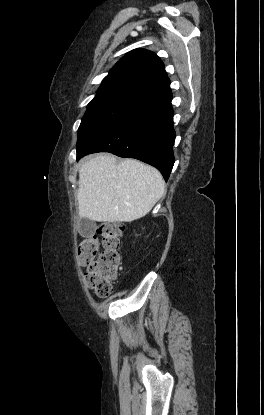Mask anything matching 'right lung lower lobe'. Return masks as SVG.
Here are the masks:
<instances>
[{"label": "right lung lower lobe", "instance_id": "right-lung-lower-lobe-1", "mask_svg": "<svg viewBox=\"0 0 264 415\" xmlns=\"http://www.w3.org/2000/svg\"><path fill=\"white\" fill-rule=\"evenodd\" d=\"M172 93L141 101L87 146L77 150V160L95 152H110L120 157L141 160L156 167L167 180L174 165Z\"/></svg>", "mask_w": 264, "mask_h": 415}]
</instances>
